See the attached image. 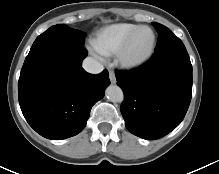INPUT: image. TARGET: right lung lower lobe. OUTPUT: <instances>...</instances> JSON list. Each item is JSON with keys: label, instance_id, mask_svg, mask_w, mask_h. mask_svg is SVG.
<instances>
[{"label": "right lung lower lobe", "instance_id": "98d812e1", "mask_svg": "<svg viewBox=\"0 0 219 174\" xmlns=\"http://www.w3.org/2000/svg\"><path fill=\"white\" fill-rule=\"evenodd\" d=\"M83 46L54 43L29 54L18 81L19 104L41 136L61 140L80 133L92 106L110 84L108 71L87 73Z\"/></svg>", "mask_w": 219, "mask_h": 174}]
</instances>
